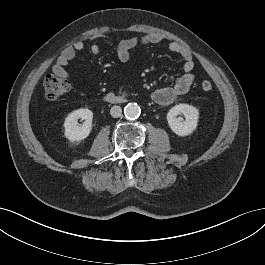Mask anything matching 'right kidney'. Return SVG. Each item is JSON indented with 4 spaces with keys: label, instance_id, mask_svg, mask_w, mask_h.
I'll use <instances>...</instances> for the list:
<instances>
[{
    "label": "right kidney",
    "instance_id": "right-kidney-1",
    "mask_svg": "<svg viewBox=\"0 0 265 265\" xmlns=\"http://www.w3.org/2000/svg\"><path fill=\"white\" fill-rule=\"evenodd\" d=\"M78 119L84 120L82 125H78ZM93 113L87 108H81L71 112L64 122L65 137L74 142L87 138L92 130Z\"/></svg>",
    "mask_w": 265,
    "mask_h": 265
}]
</instances>
